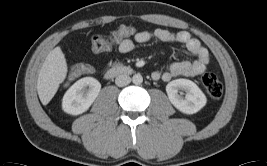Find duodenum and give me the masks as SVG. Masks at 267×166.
<instances>
[{"label":"duodenum","mask_w":267,"mask_h":166,"mask_svg":"<svg viewBox=\"0 0 267 166\" xmlns=\"http://www.w3.org/2000/svg\"><path fill=\"white\" fill-rule=\"evenodd\" d=\"M133 72L132 68L126 65H116L107 69L104 73L105 78H112L119 75H129Z\"/></svg>","instance_id":"1"}]
</instances>
